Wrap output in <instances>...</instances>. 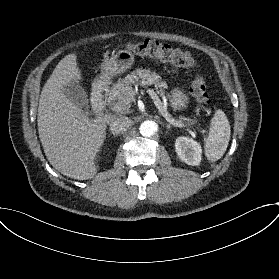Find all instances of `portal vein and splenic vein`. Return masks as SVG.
Wrapping results in <instances>:
<instances>
[{"label":"portal vein and splenic vein","instance_id":"1","mask_svg":"<svg viewBox=\"0 0 279 279\" xmlns=\"http://www.w3.org/2000/svg\"><path fill=\"white\" fill-rule=\"evenodd\" d=\"M145 91L149 94V96L153 99L154 103L156 104L157 108L165 115L166 120L175 127L184 128L187 127L188 124L182 123L178 120H175L168 114L167 108L165 106L162 107L161 101L159 96L154 92L151 88H145ZM113 110V109H112ZM114 111V110H113Z\"/></svg>","mask_w":279,"mask_h":279}]
</instances>
